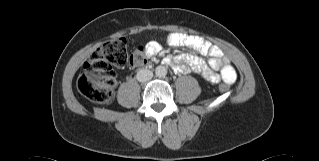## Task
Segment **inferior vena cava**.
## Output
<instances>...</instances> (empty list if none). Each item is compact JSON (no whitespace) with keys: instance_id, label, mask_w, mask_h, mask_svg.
Returning <instances> with one entry per match:
<instances>
[{"instance_id":"obj_1","label":"inferior vena cava","mask_w":319,"mask_h":161,"mask_svg":"<svg viewBox=\"0 0 319 161\" xmlns=\"http://www.w3.org/2000/svg\"><path fill=\"white\" fill-rule=\"evenodd\" d=\"M153 77V72L148 69H141L137 72L136 78L139 82H147Z\"/></svg>"}]
</instances>
